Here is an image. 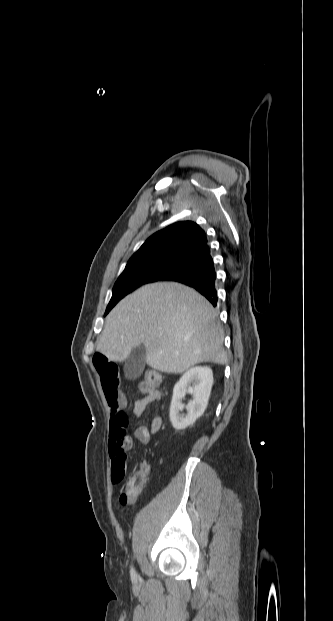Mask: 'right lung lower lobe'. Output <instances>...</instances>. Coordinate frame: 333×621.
<instances>
[{
	"label": "right lung lower lobe",
	"instance_id": "right-lung-lower-lobe-1",
	"mask_svg": "<svg viewBox=\"0 0 333 621\" xmlns=\"http://www.w3.org/2000/svg\"><path fill=\"white\" fill-rule=\"evenodd\" d=\"M215 280L216 272L208 245L186 258L178 268L162 279V281H175L196 289L213 306L217 305Z\"/></svg>",
	"mask_w": 333,
	"mask_h": 621
}]
</instances>
